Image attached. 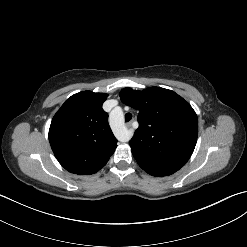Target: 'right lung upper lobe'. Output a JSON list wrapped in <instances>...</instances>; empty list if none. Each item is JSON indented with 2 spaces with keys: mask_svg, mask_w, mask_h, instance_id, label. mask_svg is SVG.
<instances>
[{
  "mask_svg": "<svg viewBox=\"0 0 247 247\" xmlns=\"http://www.w3.org/2000/svg\"><path fill=\"white\" fill-rule=\"evenodd\" d=\"M107 94L83 91L68 98L52 119L49 142L69 172L94 174L106 165L117 139L102 109Z\"/></svg>",
  "mask_w": 247,
  "mask_h": 247,
  "instance_id": "cb5924a9",
  "label": "right lung upper lobe"
}]
</instances>
